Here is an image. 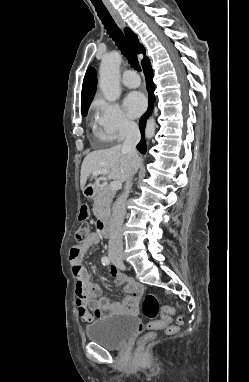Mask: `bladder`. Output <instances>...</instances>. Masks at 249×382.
I'll return each instance as SVG.
<instances>
[{
	"label": "bladder",
	"instance_id": "31cf9c89",
	"mask_svg": "<svg viewBox=\"0 0 249 382\" xmlns=\"http://www.w3.org/2000/svg\"><path fill=\"white\" fill-rule=\"evenodd\" d=\"M138 325V319L131 315H116L94 320L84 329L90 342L108 350L120 349Z\"/></svg>",
	"mask_w": 249,
	"mask_h": 382
}]
</instances>
